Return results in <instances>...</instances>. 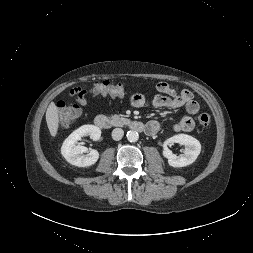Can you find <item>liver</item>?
Wrapping results in <instances>:
<instances>
[{
    "mask_svg": "<svg viewBox=\"0 0 253 253\" xmlns=\"http://www.w3.org/2000/svg\"><path fill=\"white\" fill-rule=\"evenodd\" d=\"M46 122L51 136L55 137L59 127V113L54 102H51L47 108Z\"/></svg>",
    "mask_w": 253,
    "mask_h": 253,
    "instance_id": "1",
    "label": "liver"
}]
</instances>
